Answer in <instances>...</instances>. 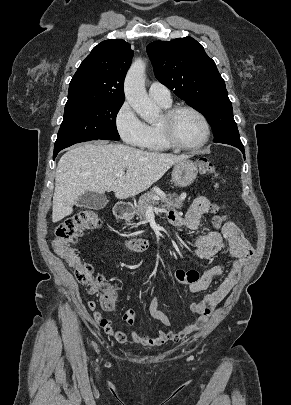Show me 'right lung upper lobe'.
I'll return each mask as SVG.
<instances>
[{
    "label": "right lung upper lobe",
    "instance_id": "cb5924a9",
    "mask_svg": "<svg viewBox=\"0 0 291 405\" xmlns=\"http://www.w3.org/2000/svg\"><path fill=\"white\" fill-rule=\"evenodd\" d=\"M133 51L122 39L99 43L83 60L69 84L66 104L81 101L124 102V79Z\"/></svg>",
    "mask_w": 291,
    "mask_h": 405
}]
</instances>
